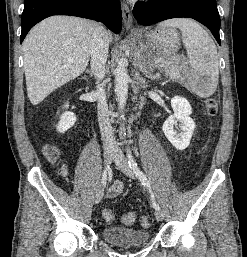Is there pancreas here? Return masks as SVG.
<instances>
[{"label": "pancreas", "mask_w": 247, "mask_h": 257, "mask_svg": "<svg viewBox=\"0 0 247 257\" xmlns=\"http://www.w3.org/2000/svg\"><path fill=\"white\" fill-rule=\"evenodd\" d=\"M165 71L169 74V73H171V71H174V68L167 67V68H165Z\"/></svg>", "instance_id": "1"}]
</instances>
